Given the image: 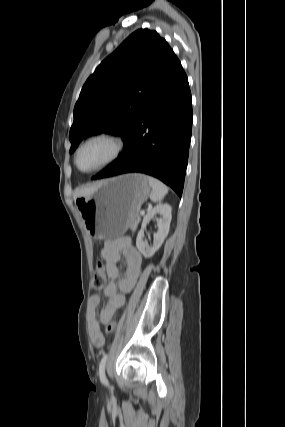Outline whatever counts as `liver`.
Here are the masks:
<instances>
[{"label":"liver","instance_id":"obj_1","mask_svg":"<svg viewBox=\"0 0 285 427\" xmlns=\"http://www.w3.org/2000/svg\"><path fill=\"white\" fill-rule=\"evenodd\" d=\"M102 182H98L96 184L93 185H89V186H82L79 187L77 189H75L74 191V198H78V197H86L91 195L97 188L98 186L101 184Z\"/></svg>","mask_w":285,"mask_h":427}]
</instances>
